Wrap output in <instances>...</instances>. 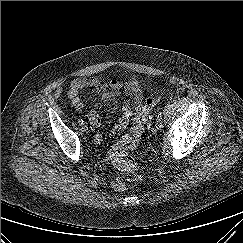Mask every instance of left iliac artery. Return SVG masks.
<instances>
[{
    "instance_id": "obj_1",
    "label": "left iliac artery",
    "mask_w": 243,
    "mask_h": 243,
    "mask_svg": "<svg viewBox=\"0 0 243 243\" xmlns=\"http://www.w3.org/2000/svg\"><path fill=\"white\" fill-rule=\"evenodd\" d=\"M158 118H159V119H162V118H161V114H158Z\"/></svg>"
}]
</instances>
